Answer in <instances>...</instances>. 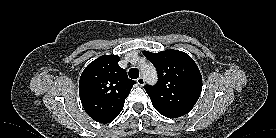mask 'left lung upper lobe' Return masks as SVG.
Returning a JSON list of instances; mask_svg holds the SVG:
<instances>
[{"instance_id": "obj_1", "label": "left lung upper lobe", "mask_w": 276, "mask_h": 138, "mask_svg": "<svg viewBox=\"0 0 276 138\" xmlns=\"http://www.w3.org/2000/svg\"><path fill=\"white\" fill-rule=\"evenodd\" d=\"M158 74L155 86L145 85L154 108L167 118H178L188 113L202 90V76L194 60L174 49L152 53L143 51Z\"/></svg>"}]
</instances>
